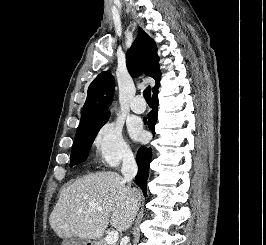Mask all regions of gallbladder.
I'll return each mask as SVG.
<instances>
[{"label":"gallbladder","instance_id":"1","mask_svg":"<svg viewBox=\"0 0 266 245\" xmlns=\"http://www.w3.org/2000/svg\"><path fill=\"white\" fill-rule=\"evenodd\" d=\"M77 243V237H73V239H70L69 245H76Z\"/></svg>","mask_w":266,"mask_h":245}]
</instances>
